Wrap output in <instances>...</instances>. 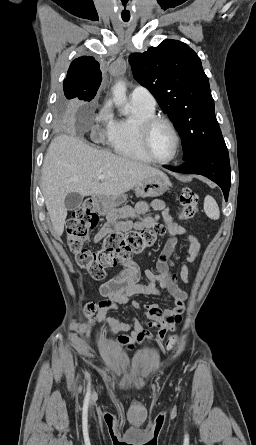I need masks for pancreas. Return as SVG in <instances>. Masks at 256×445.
<instances>
[{
	"mask_svg": "<svg viewBox=\"0 0 256 445\" xmlns=\"http://www.w3.org/2000/svg\"><path fill=\"white\" fill-rule=\"evenodd\" d=\"M140 206L142 207V213L148 212L149 211V205L146 202H141Z\"/></svg>",
	"mask_w": 256,
	"mask_h": 445,
	"instance_id": "obj_1",
	"label": "pancreas"
}]
</instances>
